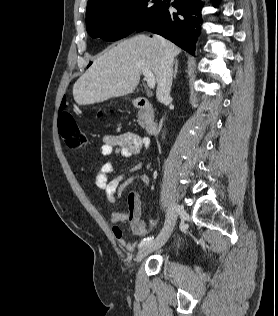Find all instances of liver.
<instances>
[{"label":"liver","instance_id":"1","mask_svg":"<svg viewBox=\"0 0 278 316\" xmlns=\"http://www.w3.org/2000/svg\"><path fill=\"white\" fill-rule=\"evenodd\" d=\"M166 47L173 56L181 52L169 41H165L164 45L157 36L151 38L146 35H138L112 46L75 82V102L90 105L132 93L144 70L153 72L158 82Z\"/></svg>","mask_w":278,"mask_h":316}]
</instances>
